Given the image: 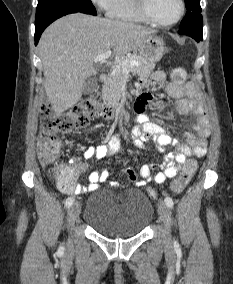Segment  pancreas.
Wrapping results in <instances>:
<instances>
[{
  "instance_id": "cf45deb5",
  "label": "pancreas",
  "mask_w": 233,
  "mask_h": 284,
  "mask_svg": "<svg viewBox=\"0 0 233 284\" xmlns=\"http://www.w3.org/2000/svg\"><path fill=\"white\" fill-rule=\"evenodd\" d=\"M136 60L138 66H128L129 71H134L140 76H147L154 69L155 64L147 62L141 56L137 54H131L126 57H122L120 62L114 66L113 72L108 78L107 85L103 89V98L108 102L111 107H116L122 95V85L125 81L126 72L122 69L121 63L123 61Z\"/></svg>"
}]
</instances>
